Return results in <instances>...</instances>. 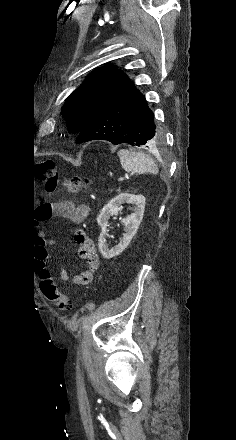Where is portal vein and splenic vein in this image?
I'll return each mask as SVG.
<instances>
[{"mask_svg":"<svg viewBox=\"0 0 236 440\" xmlns=\"http://www.w3.org/2000/svg\"><path fill=\"white\" fill-rule=\"evenodd\" d=\"M125 179V177H120L119 179H118V181H122V180H124Z\"/></svg>","mask_w":236,"mask_h":440,"instance_id":"18ae733b","label":"portal vein and splenic vein"}]
</instances>
